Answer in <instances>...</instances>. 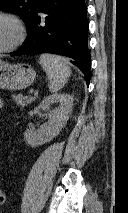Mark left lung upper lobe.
Wrapping results in <instances>:
<instances>
[{"label":"left lung upper lobe","instance_id":"obj_1","mask_svg":"<svg viewBox=\"0 0 128 213\" xmlns=\"http://www.w3.org/2000/svg\"><path fill=\"white\" fill-rule=\"evenodd\" d=\"M39 0H0V11H7L20 15L26 23V28L30 25Z\"/></svg>","mask_w":128,"mask_h":213}]
</instances>
